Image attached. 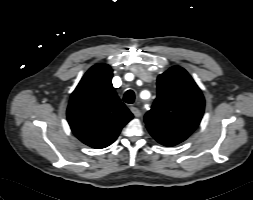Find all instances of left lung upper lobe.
Here are the masks:
<instances>
[{
	"label": "left lung upper lobe",
	"mask_w": 253,
	"mask_h": 200,
	"mask_svg": "<svg viewBox=\"0 0 253 200\" xmlns=\"http://www.w3.org/2000/svg\"><path fill=\"white\" fill-rule=\"evenodd\" d=\"M157 98L145 115L147 128L189 136L199 125L205 101L192 77L179 66L157 79Z\"/></svg>",
	"instance_id": "5c2ea615"
}]
</instances>
